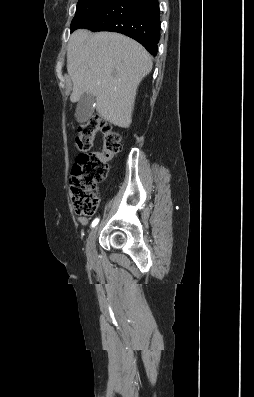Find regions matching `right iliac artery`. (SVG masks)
I'll list each match as a JSON object with an SVG mask.
<instances>
[{"instance_id":"1","label":"right iliac artery","mask_w":254,"mask_h":397,"mask_svg":"<svg viewBox=\"0 0 254 397\" xmlns=\"http://www.w3.org/2000/svg\"><path fill=\"white\" fill-rule=\"evenodd\" d=\"M98 222H99V218L94 219L91 226L95 227L98 224Z\"/></svg>"}]
</instances>
